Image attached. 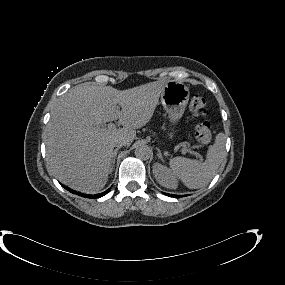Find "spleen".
I'll return each mask as SVG.
<instances>
[{
	"label": "spleen",
	"mask_w": 285,
	"mask_h": 285,
	"mask_svg": "<svg viewBox=\"0 0 285 285\" xmlns=\"http://www.w3.org/2000/svg\"><path fill=\"white\" fill-rule=\"evenodd\" d=\"M225 142V135L218 133L214 144L209 147L204 162L184 157L171 159L169 162L171 173L190 189L208 185L225 158Z\"/></svg>",
	"instance_id": "obj_1"
}]
</instances>
